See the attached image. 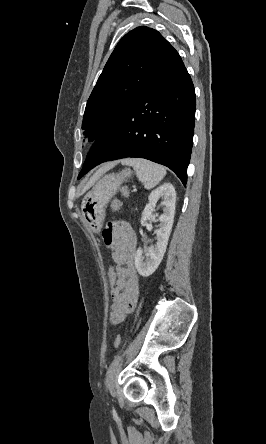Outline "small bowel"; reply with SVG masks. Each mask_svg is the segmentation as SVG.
Masks as SVG:
<instances>
[{"label":"small bowel","mask_w":266,"mask_h":444,"mask_svg":"<svg viewBox=\"0 0 266 444\" xmlns=\"http://www.w3.org/2000/svg\"><path fill=\"white\" fill-rule=\"evenodd\" d=\"M102 236L118 272L116 287L111 292L110 310V320L117 325L134 310L139 296V279L134 266L137 241L130 225L123 221L109 223Z\"/></svg>","instance_id":"c3829d8e"}]
</instances>
